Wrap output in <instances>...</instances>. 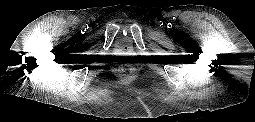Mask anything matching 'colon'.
Here are the masks:
<instances>
[{"mask_svg": "<svg viewBox=\"0 0 255 122\" xmlns=\"http://www.w3.org/2000/svg\"><path fill=\"white\" fill-rule=\"evenodd\" d=\"M132 71L131 67L129 65H123L120 67V72L124 75L130 74Z\"/></svg>", "mask_w": 255, "mask_h": 122, "instance_id": "5ec220e1", "label": "colon"}]
</instances>
